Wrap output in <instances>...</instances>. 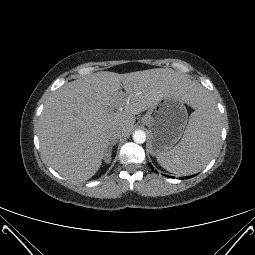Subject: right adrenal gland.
Returning <instances> with one entry per match:
<instances>
[{
    "instance_id": "obj_1",
    "label": "right adrenal gland",
    "mask_w": 255,
    "mask_h": 255,
    "mask_svg": "<svg viewBox=\"0 0 255 255\" xmlns=\"http://www.w3.org/2000/svg\"><path fill=\"white\" fill-rule=\"evenodd\" d=\"M115 144H116V143H112V144L109 146L107 152L105 153L104 161H105L106 163H109V162L111 161L112 149H113V146H114Z\"/></svg>"
}]
</instances>
